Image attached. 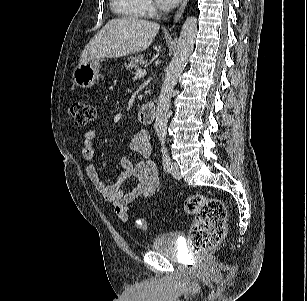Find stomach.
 <instances>
[{
    "label": "stomach",
    "instance_id": "1",
    "mask_svg": "<svg viewBox=\"0 0 307 301\" xmlns=\"http://www.w3.org/2000/svg\"><path fill=\"white\" fill-rule=\"evenodd\" d=\"M100 68L99 59L80 63L72 74L74 84L80 88L93 87L100 79L104 78L100 73Z\"/></svg>",
    "mask_w": 307,
    "mask_h": 301
}]
</instances>
